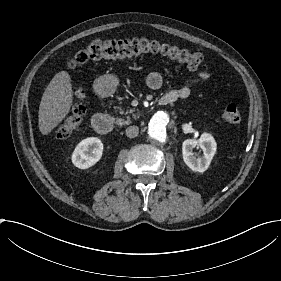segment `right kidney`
I'll use <instances>...</instances> for the list:
<instances>
[{"mask_svg":"<svg viewBox=\"0 0 281 281\" xmlns=\"http://www.w3.org/2000/svg\"><path fill=\"white\" fill-rule=\"evenodd\" d=\"M103 148V143L99 138H85L75 147L71 162L79 169H88L101 160Z\"/></svg>","mask_w":281,"mask_h":281,"instance_id":"1","label":"right kidney"}]
</instances>
